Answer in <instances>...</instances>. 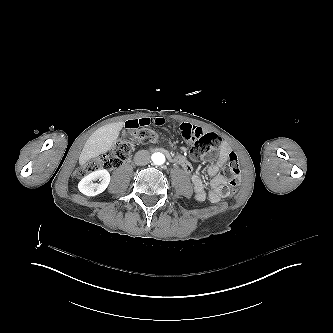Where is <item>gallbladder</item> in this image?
Listing matches in <instances>:
<instances>
[{"instance_id": "gallbladder-1", "label": "gallbladder", "mask_w": 333, "mask_h": 333, "mask_svg": "<svg viewBox=\"0 0 333 333\" xmlns=\"http://www.w3.org/2000/svg\"><path fill=\"white\" fill-rule=\"evenodd\" d=\"M123 135H124V136H126V135H127V133H126V132H123Z\"/></svg>"}]
</instances>
